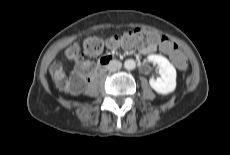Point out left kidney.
<instances>
[{"instance_id": "left-kidney-1", "label": "left kidney", "mask_w": 230, "mask_h": 155, "mask_svg": "<svg viewBox=\"0 0 230 155\" xmlns=\"http://www.w3.org/2000/svg\"><path fill=\"white\" fill-rule=\"evenodd\" d=\"M148 60L159 66L160 78L149 80L150 86L159 94L167 95L176 88V69L161 55L152 54L148 56Z\"/></svg>"}]
</instances>
